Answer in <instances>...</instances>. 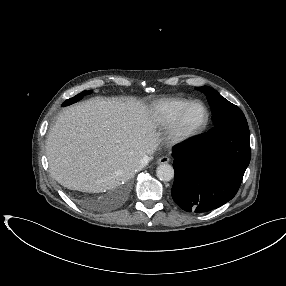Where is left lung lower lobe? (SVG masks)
Here are the masks:
<instances>
[{
	"label": "left lung lower lobe",
	"instance_id": "1",
	"mask_svg": "<svg viewBox=\"0 0 286 286\" xmlns=\"http://www.w3.org/2000/svg\"><path fill=\"white\" fill-rule=\"evenodd\" d=\"M172 153L173 200L188 212L211 211L231 200L240 187L251 157L248 124H219L188 147H174Z\"/></svg>",
	"mask_w": 286,
	"mask_h": 286
}]
</instances>
